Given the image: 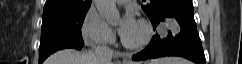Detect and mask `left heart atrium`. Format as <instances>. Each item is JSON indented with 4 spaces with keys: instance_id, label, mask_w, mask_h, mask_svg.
Wrapping results in <instances>:
<instances>
[{
    "instance_id": "left-heart-atrium-1",
    "label": "left heart atrium",
    "mask_w": 242,
    "mask_h": 64,
    "mask_svg": "<svg viewBox=\"0 0 242 64\" xmlns=\"http://www.w3.org/2000/svg\"><path fill=\"white\" fill-rule=\"evenodd\" d=\"M138 27V23L132 13L124 15L121 24L119 26V34L125 39L129 37Z\"/></svg>"
}]
</instances>
